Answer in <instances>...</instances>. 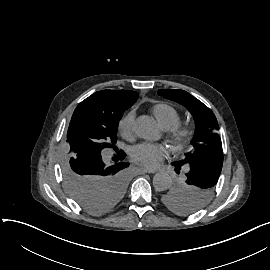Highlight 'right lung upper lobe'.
<instances>
[{
  "mask_svg": "<svg viewBox=\"0 0 270 270\" xmlns=\"http://www.w3.org/2000/svg\"><path fill=\"white\" fill-rule=\"evenodd\" d=\"M138 96V92L129 90H103L91 95L103 111L116 118L121 117L136 102Z\"/></svg>",
  "mask_w": 270,
  "mask_h": 270,
  "instance_id": "1",
  "label": "right lung upper lobe"
}]
</instances>
